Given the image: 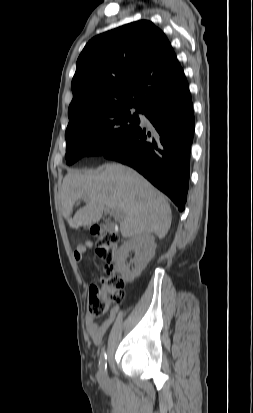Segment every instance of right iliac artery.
<instances>
[{
  "label": "right iliac artery",
  "instance_id": "82829eb1",
  "mask_svg": "<svg viewBox=\"0 0 253 413\" xmlns=\"http://www.w3.org/2000/svg\"><path fill=\"white\" fill-rule=\"evenodd\" d=\"M99 369L101 372L106 373L107 369V354L105 349L102 350L99 360Z\"/></svg>",
  "mask_w": 253,
  "mask_h": 413
}]
</instances>
